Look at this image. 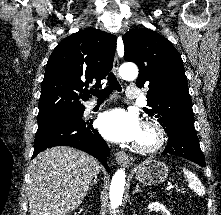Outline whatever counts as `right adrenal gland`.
Masks as SVG:
<instances>
[{"label":"right adrenal gland","mask_w":221,"mask_h":215,"mask_svg":"<svg viewBox=\"0 0 221 215\" xmlns=\"http://www.w3.org/2000/svg\"><path fill=\"white\" fill-rule=\"evenodd\" d=\"M96 183H97V176H95L94 180L91 182L90 188H92L93 184H96Z\"/></svg>","instance_id":"obj_1"}]
</instances>
